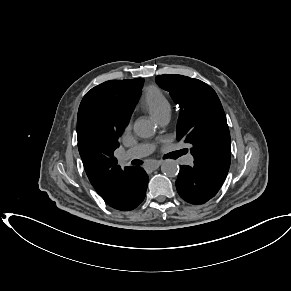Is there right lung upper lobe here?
<instances>
[{"instance_id":"1","label":"right lung upper lobe","mask_w":291,"mask_h":291,"mask_svg":"<svg viewBox=\"0 0 291 291\" xmlns=\"http://www.w3.org/2000/svg\"><path fill=\"white\" fill-rule=\"evenodd\" d=\"M142 84V78L104 82L92 88L79 106V153L92 186L107 203L117 201L123 195L124 171L113 156L119 142L105 127L106 109L109 106L120 109L127 123L139 98Z\"/></svg>"}]
</instances>
